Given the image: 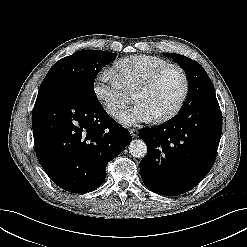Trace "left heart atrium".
<instances>
[{
  "label": "left heart atrium",
  "instance_id": "left-heart-atrium-1",
  "mask_svg": "<svg viewBox=\"0 0 247 247\" xmlns=\"http://www.w3.org/2000/svg\"><path fill=\"white\" fill-rule=\"evenodd\" d=\"M118 119L125 125H135L141 122H149L154 119V116L141 103H136L131 109L121 112Z\"/></svg>",
  "mask_w": 247,
  "mask_h": 247
}]
</instances>
